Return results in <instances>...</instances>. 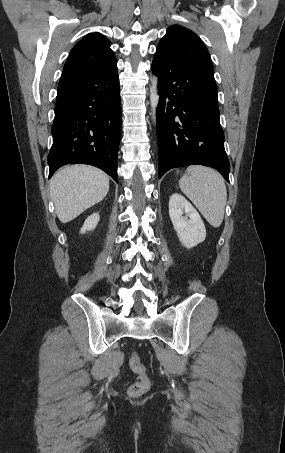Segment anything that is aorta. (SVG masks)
<instances>
[{"instance_id": "1", "label": "aorta", "mask_w": 285, "mask_h": 453, "mask_svg": "<svg viewBox=\"0 0 285 453\" xmlns=\"http://www.w3.org/2000/svg\"><path fill=\"white\" fill-rule=\"evenodd\" d=\"M159 103V94H158V78L153 77L151 79L150 86V105H151V115L153 122L156 123V109Z\"/></svg>"}]
</instances>
